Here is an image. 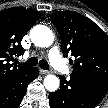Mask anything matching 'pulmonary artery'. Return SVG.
I'll use <instances>...</instances> for the list:
<instances>
[{"label":"pulmonary artery","mask_w":108,"mask_h":108,"mask_svg":"<svg viewBox=\"0 0 108 108\" xmlns=\"http://www.w3.org/2000/svg\"><path fill=\"white\" fill-rule=\"evenodd\" d=\"M49 59L51 64L62 73H69V68L59 53L58 47L54 46L49 51Z\"/></svg>","instance_id":"pulmonary-artery-1"}]
</instances>
